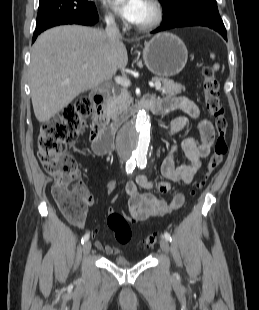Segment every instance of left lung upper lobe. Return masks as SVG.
I'll return each mask as SVG.
<instances>
[{"label":"left lung upper lobe","mask_w":259,"mask_h":310,"mask_svg":"<svg viewBox=\"0 0 259 310\" xmlns=\"http://www.w3.org/2000/svg\"><path fill=\"white\" fill-rule=\"evenodd\" d=\"M165 8L163 25L192 17L221 19L216 0H160Z\"/></svg>","instance_id":"left-lung-upper-lobe-1"}]
</instances>
